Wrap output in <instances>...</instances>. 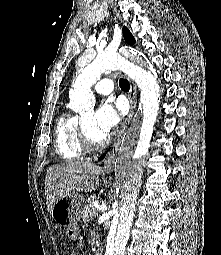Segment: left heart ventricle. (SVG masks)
I'll return each instance as SVG.
<instances>
[{"label":"left heart ventricle","mask_w":221,"mask_h":255,"mask_svg":"<svg viewBox=\"0 0 221 255\" xmlns=\"http://www.w3.org/2000/svg\"><path fill=\"white\" fill-rule=\"evenodd\" d=\"M83 124L88 132L89 136L95 141V142H100L102 141L106 136L97 131V129L94 126V116L93 114H90L86 116L83 119Z\"/></svg>","instance_id":"1"}]
</instances>
